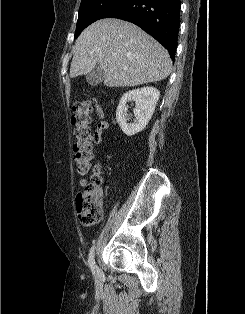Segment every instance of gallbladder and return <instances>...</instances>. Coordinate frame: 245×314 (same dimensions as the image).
<instances>
[{
    "instance_id": "gallbladder-1",
    "label": "gallbladder",
    "mask_w": 245,
    "mask_h": 314,
    "mask_svg": "<svg viewBox=\"0 0 245 314\" xmlns=\"http://www.w3.org/2000/svg\"><path fill=\"white\" fill-rule=\"evenodd\" d=\"M104 77H105L104 71L99 66H96L92 71H90L86 75V81L91 86H97L103 82Z\"/></svg>"
}]
</instances>
